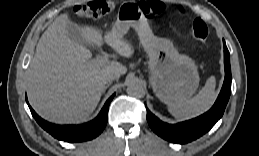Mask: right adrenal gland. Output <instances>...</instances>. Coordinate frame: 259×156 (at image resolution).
<instances>
[{"instance_id": "2a0ac1e0", "label": "right adrenal gland", "mask_w": 259, "mask_h": 156, "mask_svg": "<svg viewBox=\"0 0 259 156\" xmlns=\"http://www.w3.org/2000/svg\"><path fill=\"white\" fill-rule=\"evenodd\" d=\"M111 85V82L107 83V85L105 86L104 90H103V94L106 92L107 88Z\"/></svg>"}]
</instances>
